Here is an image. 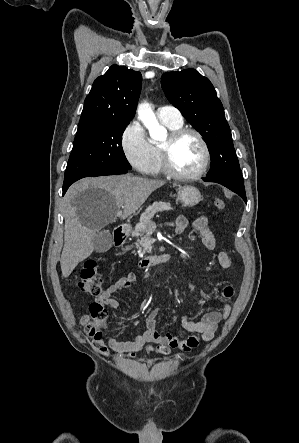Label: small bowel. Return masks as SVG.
Segmentation results:
<instances>
[{
  "instance_id": "small-bowel-1",
  "label": "small bowel",
  "mask_w": 299,
  "mask_h": 443,
  "mask_svg": "<svg viewBox=\"0 0 299 443\" xmlns=\"http://www.w3.org/2000/svg\"><path fill=\"white\" fill-rule=\"evenodd\" d=\"M188 226V220L184 216H178L175 221V230L178 234H182ZM193 226L197 233H199L202 243L209 250L217 248L215 237L208 225V220L205 216L197 217ZM219 265L223 269H230L232 260L226 251H219L217 254ZM136 280L135 274H128L120 277L116 282L110 284L97 298L96 302L106 305L110 308L117 309L120 306L119 301L113 296L114 293L129 287ZM221 297L230 300L234 297V288L231 284H224L220 291ZM232 311L230 303H224L219 310H212L203 315L201 320L193 321L188 315L181 318V325L183 329L191 335L185 338H179L173 333H162L158 329L157 317L160 313V308L152 309L145 318V330L137 335L132 340L118 341L116 339H109V347L117 354H126L133 357L136 352L140 351L146 343H153L158 350L167 353L171 349H178L182 352L188 353L195 349L202 341H211L221 321L226 320ZM89 321V315L82 317V323L86 325Z\"/></svg>"
}]
</instances>
